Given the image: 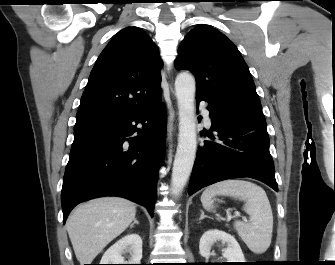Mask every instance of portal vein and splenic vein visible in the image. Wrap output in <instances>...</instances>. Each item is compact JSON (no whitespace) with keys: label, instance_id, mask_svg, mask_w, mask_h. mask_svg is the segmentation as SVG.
Returning <instances> with one entry per match:
<instances>
[{"label":"portal vein and splenic vein","instance_id":"1","mask_svg":"<svg viewBox=\"0 0 335 265\" xmlns=\"http://www.w3.org/2000/svg\"><path fill=\"white\" fill-rule=\"evenodd\" d=\"M235 216H239V214H236ZM231 218H232L231 216H228L227 220H230ZM245 221L247 220L245 219Z\"/></svg>","mask_w":335,"mask_h":265}]
</instances>
